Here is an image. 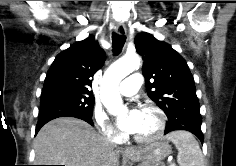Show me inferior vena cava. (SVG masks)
Masks as SVG:
<instances>
[{
    "label": "inferior vena cava",
    "instance_id": "1",
    "mask_svg": "<svg viewBox=\"0 0 236 166\" xmlns=\"http://www.w3.org/2000/svg\"><path fill=\"white\" fill-rule=\"evenodd\" d=\"M107 140L110 143V145L114 146V144L109 139H107Z\"/></svg>",
    "mask_w": 236,
    "mask_h": 166
}]
</instances>
